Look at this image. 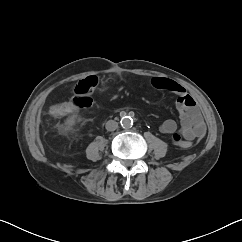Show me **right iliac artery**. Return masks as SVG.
Here are the masks:
<instances>
[{
	"instance_id": "obj_1",
	"label": "right iliac artery",
	"mask_w": 242,
	"mask_h": 242,
	"mask_svg": "<svg viewBox=\"0 0 242 242\" xmlns=\"http://www.w3.org/2000/svg\"><path fill=\"white\" fill-rule=\"evenodd\" d=\"M126 115V113L124 112V111H122L121 113H120V116H125Z\"/></svg>"
}]
</instances>
